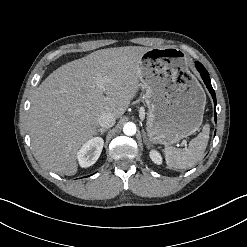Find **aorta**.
I'll return each instance as SVG.
<instances>
[{
  "label": "aorta",
  "instance_id": "obj_1",
  "mask_svg": "<svg viewBox=\"0 0 247 247\" xmlns=\"http://www.w3.org/2000/svg\"><path fill=\"white\" fill-rule=\"evenodd\" d=\"M123 132L127 136H133L136 133V125L132 122H128L123 127Z\"/></svg>",
  "mask_w": 247,
  "mask_h": 247
}]
</instances>
